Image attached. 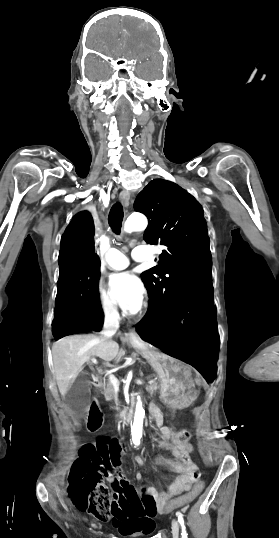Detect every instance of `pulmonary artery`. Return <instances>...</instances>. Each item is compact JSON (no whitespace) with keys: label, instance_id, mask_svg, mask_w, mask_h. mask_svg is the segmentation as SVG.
I'll return each instance as SVG.
<instances>
[{"label":"pulmonary artery","instance_id":"obj_1","mask_svg":"<svg viewBox=\"0 0 279 538\" xmlns=\"http://www.w3.org/2000/svg\"><path fill=\"white\" fill-rule=\"evenodd\" d=\"M133 259L135 261H142V258L137 256H134ZM129 262V255L118 249H111L107 258L104 260V265L110 270H121L126 268L129 265Z\"/></svg>","mask_w":279,"mask_h":538}]
</instances>
